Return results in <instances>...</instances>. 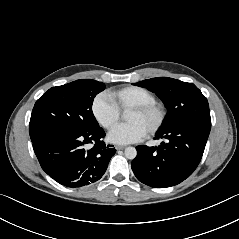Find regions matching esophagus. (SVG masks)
Returning <instances> with one entry per match:
<instances>
[{"mask_svg":"<svg viewBox=\"0 0 239 239\" xmlns=\"http://www.w3.org/2000/svg\"><path fill=\"white\" fill-rule=\"evenodd\" d=\"M115 148L117 150H123V149H125V146L117 145V146H115Z\"/></svg>","mask_w":239,"mask_h":239,"instance_id":"obj_1","label":"esophagus"}]
</instances>
